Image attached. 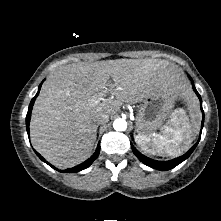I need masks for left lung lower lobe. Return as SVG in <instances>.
<instances>
[{"label": "left lung lower lobe", "instance_id": "left-lung-lower-lobe-1", "mask_svg": "<svg viewBox=\"0 0 221 221\" xmlns=\"http://www.w3.org/2000/svg\"><path fill=\"white\" fill-rule=\"evenodd\" d=\"M193 89L195 91V93L197 94L200 102H202L201 100V96L199 95V93L197 92V90L195 89V86L193 85ZM201 111H202V114H203V117H204V113H203V109H202V106H201ZM202 127H203V120H202V123H201V132H202ZM201 138V133H200V137H199V140ZM199 140L197 141V143L192 146V148H190L189 151H187L184 155L178 157V158H175L173 160H170V161H157V160H153V159H150L146 156H144L143 154H141L138 150H136V148L131 144V148H132V151L134 152V154L138 157V159L144 163L145 165L151 167V168H154V169H157V170H164V171H167V170H170L174 167H176L177 165H179L181 162H183L184 160H186L190 155L191 153L194 151V149L196 148V146L198 145L199 143Z\"/></svg>", "mask_w": 221, "mask_h": 221}]
</instances>
